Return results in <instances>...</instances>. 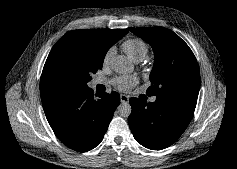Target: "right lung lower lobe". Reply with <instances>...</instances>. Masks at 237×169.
Listing matches in <instances>:
<instances>
[{"mask_svg": "<svg viewBox=\"0 0 237 169\" xmlns=\"http://www.w3.org/2000/svg\"><path fill=\"white\" fill-rule=\"evenodd\" d=\"M119 103L117 92L102 93L96 99L88 86L69 88L42 100L56 136L78 152L89 151L102 141Z\"/></svg>", "mask_w": 237, "mask_h": 169, "instance_id": "obj_1", "label": "right lung lower lobe"}]
</instances>
